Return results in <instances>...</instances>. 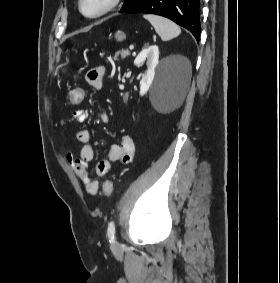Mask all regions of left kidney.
Wrapping results in <instances>:
<instances>
[{"label":"left kidney","mask_w":280,"mask_h":283,"mask_svg":"<svg viewBox=\"0 0 280 283\" xmlns=\"http://www.w3.org/2000/svg\"><path fill=\"white\" fill-rule=\"evenodd\" d=\"M170 59L178 61L180 64H184L187 60L183 57H171ZM145 60H147V70L140 81V96H143L149 90L154 76L155 69L159 63V48L157 45H151L143 49L134 60V64L141 65Z\"/></svg>","instance_id":"5707ae66"}]
</instances>
